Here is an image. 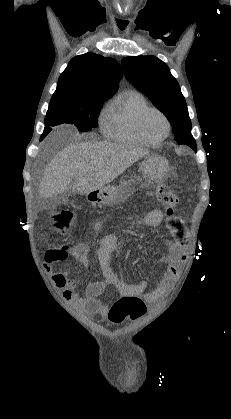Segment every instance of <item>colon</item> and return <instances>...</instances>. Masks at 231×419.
<instances>
[{"label":"colon","mask_w":231,"mask_h":419,"mask_svg":"<svg viewBox=\"0 0 231 419\" xmlns=\"http://www.w3.org/2000/svg\"><path fill=\"white\" fill-rule=\"evenodd\" d=\"M158 200L166 208V215L175 213L179 206L178 196L169 189H159L156 192ZM51 226L60 233H67L75 227V215L70 210H61L51 217ZM68 256L66 245L60 248L50 249L46 253L47 264H57L64 261ZM146 311L145 302L136 296H123L119 298L109 309L108 318L114 324H120L126 319L135 320Z\"/></svg>","instance_id":"colon-1"}]
</instances>
